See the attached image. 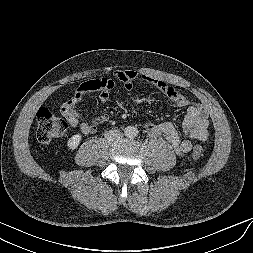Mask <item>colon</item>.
Returning <instances> with one entry per match:
<instances>
[{
  "mask_svg": "<svg viewBox=\"0 0 253 253\" xmlns=\"http://www.w3.org/2000/svg\"><path fill=\"white\" fill-rule=\"evenodd\" d=\"M37 131L36 137L39 143L47 144L52 140L63 136L68 128V124L48 108L41 107L37 111ZM204 154L203 147L197 145L193 148L192 157L200 159Z\"/></svg>",
  "mask_w": 253,
  "mask_h": 253,
  "instance_id": "colon-1",
  "label": "colon"
}]
</instances>
